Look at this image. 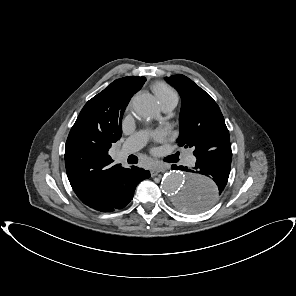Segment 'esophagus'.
<instances>
[{
	"label": "esophagus",
	"instance_id": "1",
	"mask_svg": "<svg viewBox=\"0 0 296 296\" xmlns=\"http://www.w3.org/2000/svg\"><path fill=\"white\" fill-rule=\"evenodd\" d=\"M166 169H167V166L159 164V165H155V166L151 167L150 172H151L152 176H156L157 174L165 171Z\"/></svg>",
	"mask_w": 296,
	"mask_h": 296
}]
</instances>
